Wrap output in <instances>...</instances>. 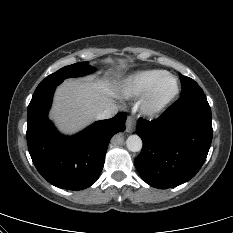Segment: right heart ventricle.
I'll return each instance as SVG.
<instances>
[{
  "label": "right heart ventricle",
  "mask_w": 233,
  "mask_h": 233,
  "mask_svg": "<svg viewBox=\"0 0 233 233\" xmlns=\"http://www.w3.org/2000/svg\"><path fill=\"white\" fill-rule=\"evenodd\" d=\"M165 73V71L158 69L135 72L123 81L121 93L125 97H136L144 94Z\"/></svg>",
  "instance_id": "right-heart-ventricle-1"
}]
</instances>
